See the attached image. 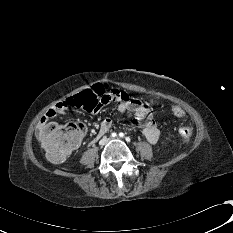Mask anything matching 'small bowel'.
<instances>
[{"instance_id":"c3829d8e","label":"small bowel","mask_w":233,"mask_h":233,"mask_svg":"<svg viewBox=\"0 0 233 233\" xmlns=\"http://www.w3.org/2000/svg\"><path fill=\"white\" fill-rule=\"evenodd\" d=\"M106 95L101 101L95 103L92 107V112L97 114L102 108H105L109 103H115L119 105V111L122 114L133 113L132 123L141 129L143 135L150 143H157L161 137V131L155 124L152 115V108L147 103H142L137 100L133 95H129L127 92L120 89L113 90L107 88L105 91ZM66 99L59 101L52 108H50L40 119L39 131H41L46 123L56 117L57 115H65L68 107L65 105ZM112 127V121L109 118H105L100 122L99 133L95 135L94 142H99L100 138L104 136V132H107Z\"/></svg>"}]
</instances>
